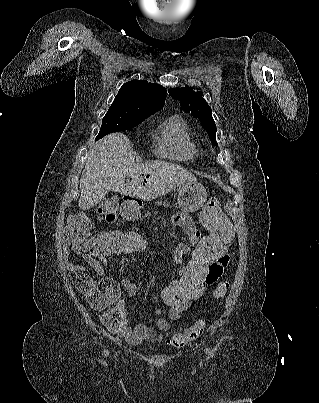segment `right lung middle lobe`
I'll return each mask as SVG.
<instances>
[{
    "label": "right lung middle lobe",
    "mask_w": 319,
    "mask_h": 403,
    "mask_svg": "<svg viewBox=\"0 0 319 403\" xmlns=\"http://www.w3.org/2000/svg\"><path fill=\"white\" fill-rule=\"evenodd\" d=\"M145 118H147V116H135L123 110L109 108L102 120V126L96 140L109 133L131 129L139 125Z\"/></svg>",
    "instance_id": "1"
}]
</instances>
